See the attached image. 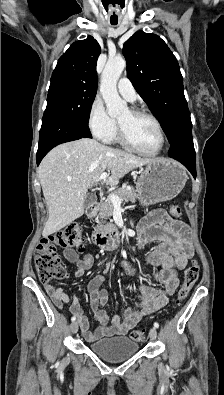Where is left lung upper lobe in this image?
Wrapping results in <instances>:
<instances>
[{"instance_id": "obj_1", "label": "left lung upper lobe", "mask_w": 224, "mask_h": 395, "mask_svg": "<svg viewBox=\"0 0 224 395\" xmlns=\"http://www.w3.org/2000/svg\"><path fill=\"white\" fill-rule=\"evenodd\" d=\"M123 55L128 78L172 140L191 121L177 59L159 36L143 31L124 43Z\"/></svg>"}]
</instances>
